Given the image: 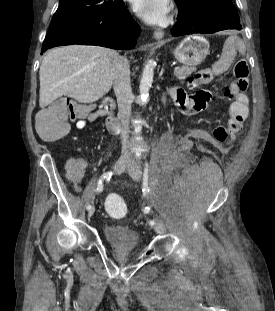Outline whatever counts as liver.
Masks as SVG:
<instances>
[{
    "instance_id": "liver-1",
    "label": "liver",
    "mask_w": 275,
    "mask_h": 311,
    "mask_svg": "<svg viewBox=\"0 0 275 311\" xmlns=\"http://www.w3.org/2000/svg\"><path fill=\"white\" fill-rule=\"evenodd\" d=\"M116 51L92 45H69L48 51L40 66L39 105L45 108L62 96L93 103L113 83Z\"/></svg>"
}]
</instances>
